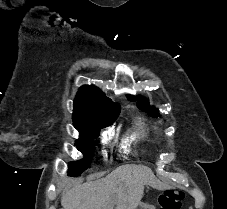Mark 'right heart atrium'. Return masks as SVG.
I'll use <instances>...</instances> for the list:
<instances>
[{
    "instance_id": "1",
    "label": "right heart atrium",
    "mask_w": 227,
    "mask_h": 209,
    "mask_svg": "<svg viewBox=\"0 0 227 209\" xmlns=\"http://www.w3.org/2000/svg\"><path fill=\"white\" fill-rule=\"evenodd\" d=\"M111 137H112L111 131H106V132H104L103 138H102V143H103L104 145H107L108 142L110 141Z\"/></svg>"
}]
</instances>
